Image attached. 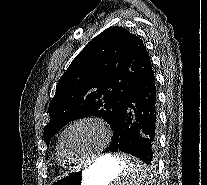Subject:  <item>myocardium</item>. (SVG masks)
Here are the masks:
<instances>
[{
    "mask_svg": "<svg viewBox=\"0 0 207 185\" xmlns=\"http://www.w3.org/2000/svg\"><path fill=\"white\" fill-rule=\"evenodd\" d=\"M84 122L95 123L103 130V132L107 138L112 136V130L109 127V125L103 119H101L99 117L85 116V117H81V118H78V119L72 121L61 132V135L58 140V152H59L60 156L62 157V159L68 163L79 164V163H82L88 159H93V158L99 157L101 154V151H98L95 153H91V154H89L83 158H80V159H72L65 153V151L63 149V139H64L66 133L75 125L80 124V123H84Z\"/></svg>",
    "mask_w": 207,
    "mask_h": 185,
    "instance_id": "f54148a6",
    "label": "myocardium"
}]
</instances>
